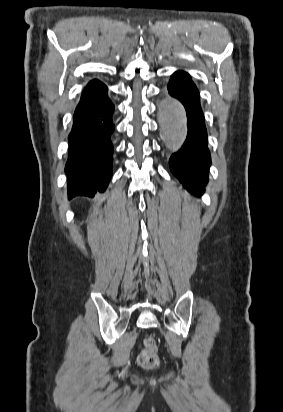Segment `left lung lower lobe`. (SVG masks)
<instances>
[{
	"label": "left lung lower lobe",
	"mask_w": 283,
	"mask_h": 412,
	"mask_svg": "<svg viewBox=\"0 0 283 412\" xmlns=\"http://www.w3.org/2000/svg\"><path fill=\"white\" fill-rule=\"evenodd\" d=\"M167 88L169 94L184 105L188 126L186 141L182 148L171 156L170 168L186 190L194 196H201L208 181L211 159L199 92L190 76L183 71L172 75Z\"/></svg>",
	"instance_id": "obj_1"
}]
</instances>
